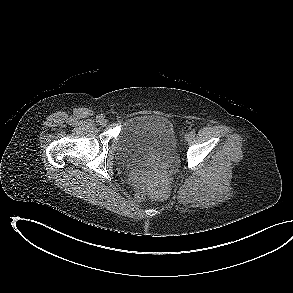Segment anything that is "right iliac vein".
<instances>
[{
    "label": "right iliac vein",
    "instance_id": "obj_1",
    "mask_svg": "<svg viewBox=\"0 0 293 293\" xmlns=\"http://www.w3.org/2000/svg\"><path fill=\"white\" fill-rule=\"evenodd\" d=\"M100 124H101L102 126H106V125H107V120L103 118V119L100 121Z\"/></svg>",
    "mask_w": 293,
    "mask_h": 293
}]
</instances>
